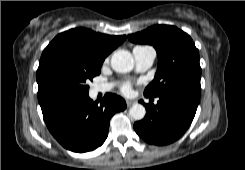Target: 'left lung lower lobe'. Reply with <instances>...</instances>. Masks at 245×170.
<instances>
[{
  "label": "left lung lower lobe",
  "instance_id": "0a47b994",
  "mask_svg": "<svg viewBox=\"0 0 245 170\" xmlns=\"http://www.w3.org/2000/svg\"><path fill=\"white\" fill-rule=\"evenodd\" d=\"M146 97L153 100L151 96ZM157 97V105L140 101L147 112L143 120L134 123V129L147 143L166 145L178 140L189 128L200 97L183 92H169Z\"/></svg>",
  "mask_w": 245,
  "mask_h": 170
}]
</instances>
